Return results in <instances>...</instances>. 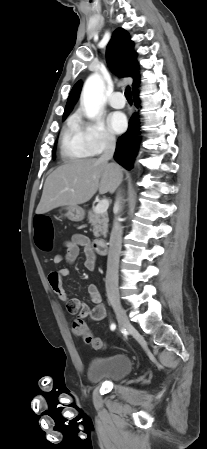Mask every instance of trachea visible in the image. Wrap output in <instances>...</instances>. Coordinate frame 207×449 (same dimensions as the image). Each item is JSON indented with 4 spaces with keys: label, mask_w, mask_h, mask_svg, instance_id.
<instances>
[{
    "label": "trachea",
    "mask_w": 207,
    "mask_h": 449,
    "mask_svg": "<svg viewBox=\"0 0 207 449\" xmlns=\"http://www.w3.org/2000/svg\"><path fill=\"white\" fill-rule=\"evenodd\" d=\"M125 97L129 102H132V93H131V88L127 87L125 90Z\"/></svg>",
    "instance_id": "obj_1"
}]
</instances>
